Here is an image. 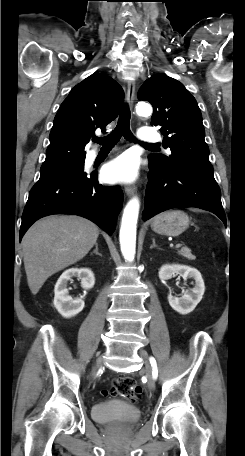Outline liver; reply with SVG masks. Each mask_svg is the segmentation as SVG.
<instances>
[{
	"label": "liver",
	"instance_id": "6515ba94",
	"mask_svg": "<svg viewBox=\"0 0 245 456\" xmlns=\"http://www.w3.org/2000/svg\"><path fill=\"white\" fill-rule=\"evenodd\" d=\"M98 227L74 216H49L34 223L22 240L28 286L36 295L56 272L87 255L97 241Z\"/></svg>",
	"mask_w": 245,
	"mask_h": 456
}]
</instances>
